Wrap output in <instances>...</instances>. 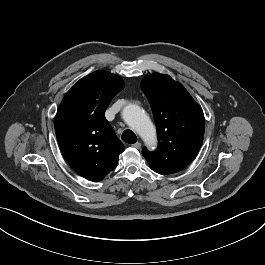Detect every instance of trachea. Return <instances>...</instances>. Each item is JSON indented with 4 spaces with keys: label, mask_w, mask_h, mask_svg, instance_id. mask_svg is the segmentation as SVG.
<instances>
[{
    "label": "trachea",
    "mask_w": 265,
    "mask_h": 265,
    "mask_svg": "<svg viewBox=\"0 0 265 265\" xmlns=\"http://www.w3.org/2000/svg\"><path fill=\"white\" fill-rule=\"evenodd\" d=\"M122 140L128 144H134L137 142V137L133 131L127 129L122 133Z\"/></svg>",
    "instance_id": "1"
}]
</instances>
